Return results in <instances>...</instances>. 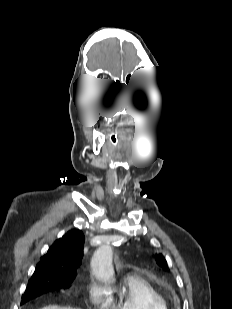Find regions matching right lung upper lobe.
<instances>
[{"label":"right lung upper lobe","mask_w":232,"mask_h":309,"mask_svg":"<svg viewBox=\"0 0 232 309\" xmlns=\"http://www.w3.org/2000/svg\"><path fill=\"white\" fill-rule=\"evenodd\" d=\"M84 237L80 230L68 231L54 242L37 264L32 277L46 275L73 281L83 256Z\"/></svg>","instance_id":"cb5924a9"}]
</instances>
